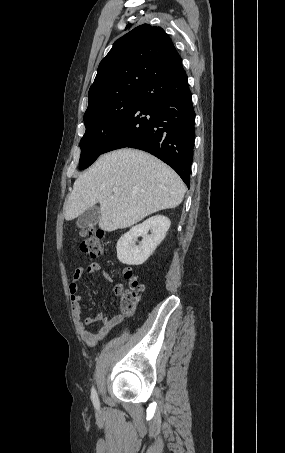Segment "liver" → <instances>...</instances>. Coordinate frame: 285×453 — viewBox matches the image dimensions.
<instances>
[{
  "label": "liver",
  "instance_id": "1",
  "mask_svg": "<svg viewBox=\"0 0 285 453\" xmlns=\"http://www.w3.org/2000/svg\"><path fill=\"white\" fill-rule=\"evenodd\" d=\"M185 191L178 174L159 159L139 150L119 149L100 156L76 179L64 216L73 220L99 203V227L111 232L177 207Z\"/></svg>",
  "mask_w": 285,
  "mask_h": 453
}]
</instances>
